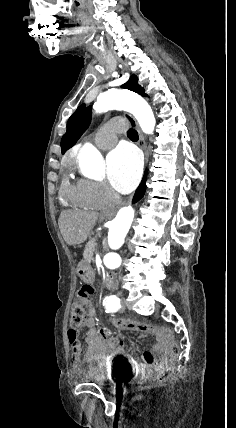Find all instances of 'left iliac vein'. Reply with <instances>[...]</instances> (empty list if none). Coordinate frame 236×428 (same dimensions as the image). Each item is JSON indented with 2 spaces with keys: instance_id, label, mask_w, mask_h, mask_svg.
Returning a JSON list of instances; mask_svg holds the SVG:
<instances>
[{
  "instance_id": "1",
  "label": "left iliac vein",
  "mask_w": 236,
  "mask_h": 428,
  "mask_svg": "<svg viewBox=\"0 0 236 428\" xmlns=\"http://www.w3.org/2000/svg\"><path fill=\"white\" fill-rule=\"evenodd\" d=\"M125 299L124 298H122V299H120V304H125Z\"/></svg>"
}]
</instances>
